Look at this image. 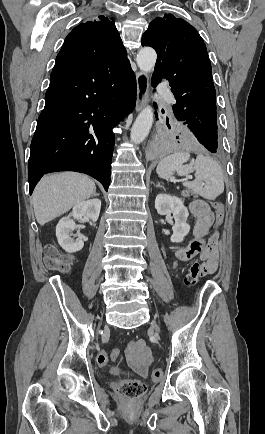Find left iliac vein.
<instances>
[{"instance_id":"left-iliac-vein-1","label":"left iliac vein","mask_w":265,"mask_h":434,"mask_svg":"<svg viewBox=\"0 0 265 434\" xmlns=\"http://www.w3.org/2000/svg\"><path fill=\"white\" fill-rule=\"evenodd\" d=\"M153 327H154L157 331H159V327H158V325H157L156 323H153Z\"/></svg>"}]
</instances>
